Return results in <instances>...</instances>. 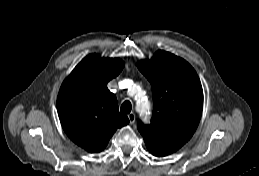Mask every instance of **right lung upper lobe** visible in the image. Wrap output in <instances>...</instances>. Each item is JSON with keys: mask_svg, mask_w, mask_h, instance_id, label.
<instances>
[{"mask_svg": "<svg viewBox=\"0 0 259 176\" xmlns=\"http://www.w3.org/2000/svg\"><path fill=\"white\" fill-rule=\"evenodd\" d=\"M125 63L118 58L85 57L63 82L57 111L67 136L88 152H100L122 126L129 123L120 114L116 96L107 88Z\"/></svg>", "mask_w": 259, "mask_h": 176, "instance_id": "cb5924a9", "label": "right lung upper lobe"}]
</instances>
